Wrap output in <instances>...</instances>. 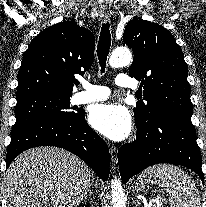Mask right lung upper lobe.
<instances>
[{
    "label": "right lung upper lobe",
    "instance_id": "1",
    "mask_svg": "<svg viewBox=\"0 0 206 207\" xmlns=\"http://www.w3.org/2000/svg\"><path fill=\"white\" fill-rule=\"evenodd\" d=\"M95 38L75 21L44 29L25 51L18 72L16 99L36 94L71 95L74 74L92 64Z\"/></svg>",
    "mask_w": 206,
    "mask_h": 207
}]
</instances>
